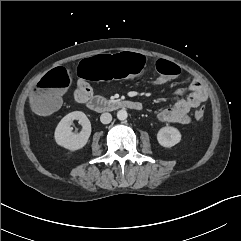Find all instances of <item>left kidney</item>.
<instances>
[{
    "label": "left kidney",
    "instance_id": "1",
    "mask_svg": "<svg viewBox=\"0 0 241 241\" xmlns=\"http://www.w3.org/2000/svg\"><path fill=\"white\" fill-rule=\"evenodd\" d=\"M157 140L161 146L170 148L181 141V133L177 128L166 126L158 131Z\"/></svg>",
    "mask_w": 241,
    "mask_h": 241
}]
</instances>
